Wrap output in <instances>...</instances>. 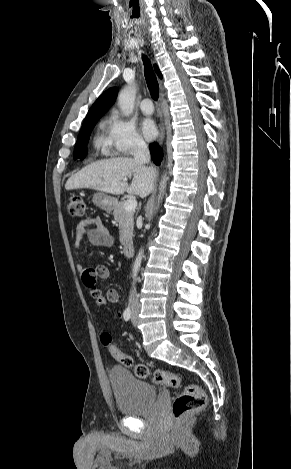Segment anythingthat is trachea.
<instances>
[{"mask_svg": "<svg viewBox=\"0 0 291 469\" xmlns=\"http://www.w3.org/2000/svg\"><path fill=\"white\" fill-rule=\"evenodd\" d=\"M142 59L144 62V75H145L147 87L149 89L151 97L154 100H157L159 97V84H158L156 75L153 71V68L151 66L149 59L145 55L142 56Z\"/></svg>", "mask_w": 291, "mask_h": 469, "instance_id": "3493384b", "label": "trachea"}]
</instances>
